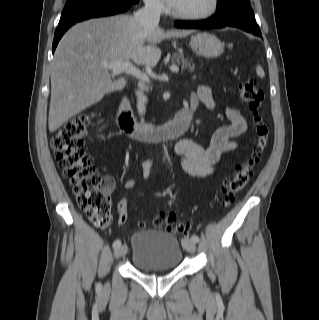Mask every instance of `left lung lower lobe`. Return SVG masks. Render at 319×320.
<instances>
[{"label":"left lung lower lobe","mask_w":319,"mask_h":320,"mask_svg":"<svg viewBox=\"0 0 319 320\" xmlns=\"http://www.w3.org/2000/svg\"><path fill=\"white\" fill-rule=\"evenodd\" d=\"M175 26L178 28L188 29L223 28L230 26L261 36V32L255 20L251 6L242 4L217 9L216 13L207 20L196 22L176 21Z\"/></svg>","instance_id":"0a47b994"}]
</instances>
